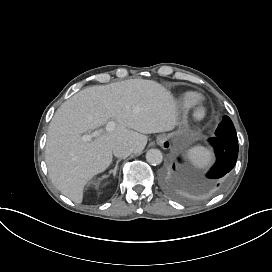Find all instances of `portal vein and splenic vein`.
<instances>
[{
    "label": "portal vein and splenic vein",
    "instance_id": "1",
    "mask_svg": "<svg viewBox=\"0 0 272 272\" xmlns=\"http://www.w3.org/2000/svg\"><path fill=\"white\" fill-rule=\"evenodd\" d=\"M116 128V123L114 121H109L107 124H106V127H105V130L107 132H113ZM103 132L102 129H99V130H96L94 132H92L91 134L89 135H83V139L86 140V141H91L92 138H95V137H98L100 136V134Z\"/></svg>",
    "mask_w": 272,
    "mask_h": 272
}]
</instances>
